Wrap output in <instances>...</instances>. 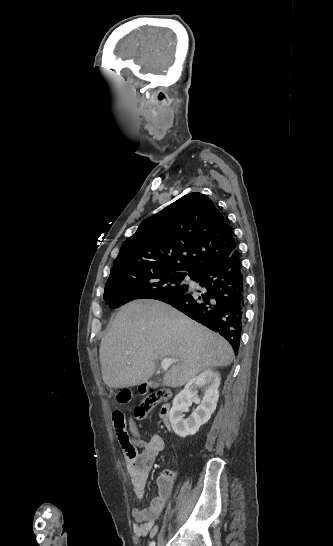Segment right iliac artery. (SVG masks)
Wrapping results in <instances>:
<instances>
[{"mask_svg":"<svg viewBox=\"0 0 333 546\" xmlns=\"http://www.w3.org/2000/svg\"><path fill=\"white\" fill-rule=\"evenodd\" d=\"M149 546H155V542L152 541V542L149 544Z\"/></svg>","mask_w":333,"mask_h":546,"instance_id":"right-iliac-artery-1","label":"right iliac artery"}]
</instances>
